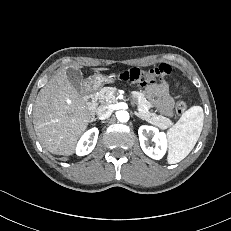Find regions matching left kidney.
<instances>
[{
  "instance_id": "left-kidney-1",
  "label": "left kidney",
  "mask_w": 231,
  "mask_h": 231,
  "mask_svg": "<svg viewBox=\"0 0 231 231\" xmlns=\"http://www.w3.org/2000/svg\"><path fill=\"white\" fill-rule=\"evenodd\" d=\"M140 146L143 152L152 159H161L168 148V138L164 132H159V129L153 126L143 125L138 130ZM149 137L155 143V147L150 146Z\"/></svg>"
}]
</instances>
